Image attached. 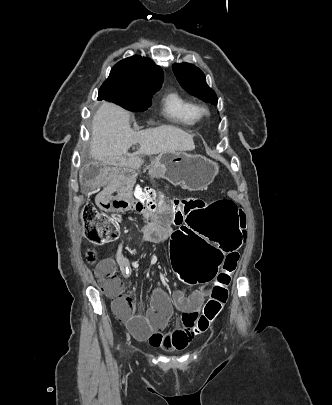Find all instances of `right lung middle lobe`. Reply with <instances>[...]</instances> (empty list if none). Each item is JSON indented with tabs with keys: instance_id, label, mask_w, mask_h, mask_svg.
Wrapping results in <instances>:
<instances>
[{
	"instance_id": "1",
	"label": "right lung middle lobe",
	"mask_w": 332,
	"mask_h": 405,
	"mask_svg": "<svg viewBox=\"0 0 332 405\" xmlns=\"http://www.w3.org/2000/svg\"><path fill=\"white\" fill-rule=\"evenodd\" d=\"M161 85L133 84L121 77H108L99 90L98 100H108L132 112L145 111Z\"/></svg>"
}]
</instances>
